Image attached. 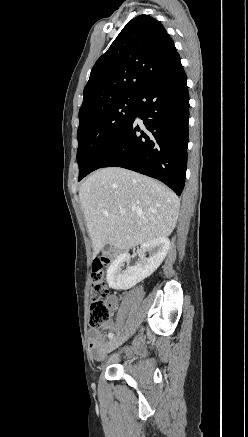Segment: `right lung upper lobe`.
Wrapping results in <instances>:
<instances>
[{
  "label": "right lung upper lobe",
  "mask_w": 248,
  "mask_h": 437,
  "mask_svg": "<svg viewBox=\"0 0 248 437\" xmlns=\"http://www.w3.org/2000/svg\"><path fill=\"white\" fill-rule=\"evenodd\" d=\"M177 55L159 21L148 15L132 19L93 66L83 91L80 122L114 101L136 96Z\"/></svg>",
  "instance_id": "obj_1"
}]
</instances>
